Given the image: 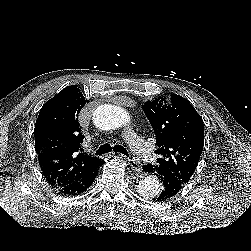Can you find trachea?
<instances>
[{
	"mask_svg": "<svg viewBox=\"0 0 251 251\" xmlns=\"http://www.w3.org/2000/svg\"><path fill=\"white\" fill-rule=\"evenodd\" d=\"M115 151V152H119L124 154L125 156L129 157V154L127 152V150L121 146V145H115V146H111L110 144L106 143L104 145H102L97 151H96V155H102L111 151Z\"/></svg>",
	"mask_w": 251,
	"mask_h": 251,
	"instance_id": "obj_1",
	"label": "trachea"
}]
</instances>
